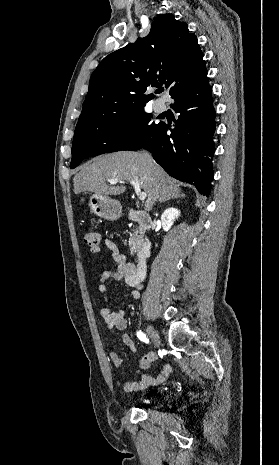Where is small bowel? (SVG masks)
<instances>
[{"instance_id": "c3829d8e", "label": "small bowel", "mask_w": 279, "mask_h": 465, "mask_svg": "<svg viewBox=\"0 0 279 465\" xmlns=\"http://www.w3.org/2000/svg\"><path fill=\"white\" fill-rule=\"evenodd\" d=\"M106 248L109 250L113 261L117 264L116 271H104L100 276V284L98 286V292L104 297L106 301L108 298V285L107 282L110 279L114 280H125L128 282L129 273L134 269V264L129 262L126 256L121 253L118 245L111 239L105 240ZM133 286V285H131ZM136 289L132 292V298H139L140 294V285H134ZM100 316L105 323L108 329H117L123 331L127 328V320L123 310L113 311L108 307H104L100 310ZM122 342L133 354L136 353L135 343L128 334H123ZM157 355L155 352H149L142 356H137V370L136 374L138 375L137 380H126L123 382V390L125 392H134L143 390L153 385H158L166 381L171 373L172 366L166 364L163 368L156 374L151 375L147 373L148 369L151 366V363L156 359ZM109 359L114 364L115 367H120L122 364V358L120 355L111 351L109 353Z\"/></svg>"}]
</instances>
